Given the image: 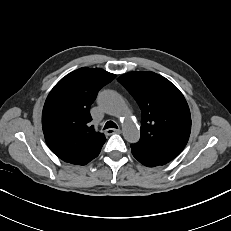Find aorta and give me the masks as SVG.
I'll return each mask as SVG.
<instances>
[{
    "label": "aorta",
    "instance_id": "762f6f07",
    "mask_svg": "<svg viewBox=\"0 0 231 231\" xmlns=\"http://www.w3.org/2000/svg\"><path fill=\"white\" fill-rule=\"evenodd\" d=\"M97 102L106 113L124 118L122 132L126 141L136 143L139 140L140 130L131 119H128L127 105L118 93L111 90L103 91L99 94Z\"/></svg>",
    "mask_w": 231,
    "mask_h": 231
}]
</instances>
